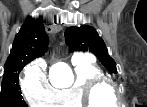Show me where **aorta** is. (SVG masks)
<instances>
[{"label": "aorta", "mask_w": 147, "mask_h": 107, "mask_svg": "<svg viewBox=\"0 0 147 107\" xmlns=\"http://www.w3.org/2000/svg\"><path fill=\"white\" fill-rule=\"evenodd\" d=\"M50 71L51 73H53L54 71H58L61 73V85H69L72 82L71 70L67 64H55Z\"/></svg>", "instance_id": "obj_1"}]
</instances>
